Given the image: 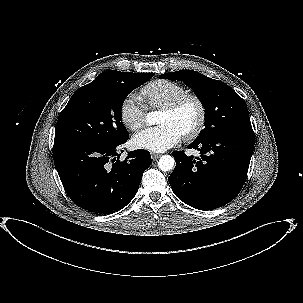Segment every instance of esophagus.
Listing matches in <instances>:
<instances>
[{"mask_svg": "<svg viewBox=\"0 0 303 303\" xmlns=\"http://www.w3.org/2000/svg\"><path fill=\"white\" fill-rule=\"evenodd\" d=\"M161 155L160 154H157V153H152L151 154V157L153 159V161L157 160Z\"/></svg>", "mask_w": 303, "mask_h": 303, "instance_id": "obj_1", "label": "esophagus"}]
</instances>
